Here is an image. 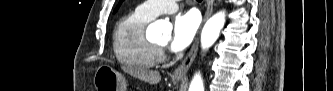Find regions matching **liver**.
I'll return each instance as SVG.
<instances>
[{"label":"liver","instance_id":"6515ba94","mask_svg":"<svg viewBox=\"0 0 333 91\" xmlns=\"http://www.w3.org/2000/svg\"><path fill=\"white\" fill-rule=\"evenodd\" d=\"M122 70L149 84H158L161 80V75L158 71L132 68L129 66L122 67Z\"/></svg>","mask_w":333,"mask_h":91}]
</instances>
